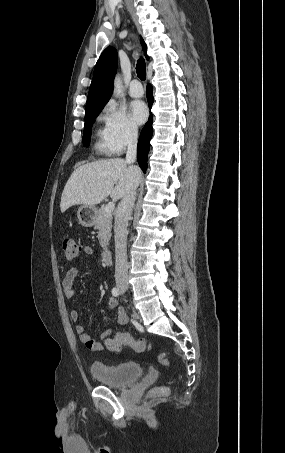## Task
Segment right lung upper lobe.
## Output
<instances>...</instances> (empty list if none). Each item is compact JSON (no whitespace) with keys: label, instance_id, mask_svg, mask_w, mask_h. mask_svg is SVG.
Instances as JSON below:
<instances>
[{"label":"right lung upper lobe","instance_id":"cb5924a9","mask_svg":"<svg viewBox=\"0 0 285 453\" xmlns=\"http://www.w3.org/2000/svg\"><path fill=\"white\" fill-rule=\"evenodd\" d=\"M140 43L146 58L149 59L146 54V44L142 38L140 39ZM117 59V51L112 46L107 47L99 57L88 93L85 114L102 110L109 101L117 69Z\"/></svg>","mask_w":285,"mask_h":453}]
</instances>
